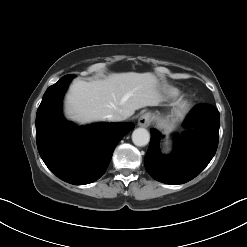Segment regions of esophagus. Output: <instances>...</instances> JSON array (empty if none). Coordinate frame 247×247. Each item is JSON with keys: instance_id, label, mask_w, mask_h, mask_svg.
<instances>
[{"instance_id": "1", "label": "esophagus", "mask_w": 247, "mask_h": 247, "mask_svg": "<svg viewBox=\"0 0 247 247\" xmlns=\"http://www.w3.org/2000/svg\"><path fill=\"white\" fill-rule=\"evenodd\" d=\"M152 121L150 113H144L138 119V125L141 127H148Z\"/></svg>"}]
</instances>
